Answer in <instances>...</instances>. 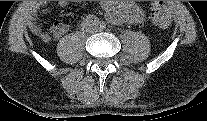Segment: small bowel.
Wrapping results in <instances>:
<instances>
[{"instance_id": "c3829d8e", "label": "small bowel", "mask_w": 207, "mask_h": 121, "mask_svg": "<svg viewBox=\"0 0 207 121\" xmlns=\"http://www.w3.org/2000/svg\"><path fill=\"white\" fill-rule=\"evenodd\" d=\"M67 1H59V7H66ZM101 6L105 12L106 18L111 22H136L142 18V12L133 2H112L103 1ZM42 12H47V8L44 4L38 6ZM30 28L33 33L38 35L43 41H48L50 36L43 32L36 22L35 14L32 15L30 20ZM67 31V26L61 22H55L51 27V32L55 37H60Z\"/></svg>"}]
</instances>
